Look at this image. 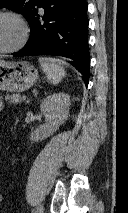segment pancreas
Wrapping results in <instances>:
<instances>
[{"mask_svg": "<svg viewBox=\"0 0 128 213\" xmlns=\"http://www.w3.org/2000/svg\"><path fill=\"white\" fill-rule=\"evenodd\" d=\"M5 99L12 104H19L24 98H22L20 95L12 94V95H6Z\"/></svg>", "mask_w": 128, "mask_h": 213, "instance_id": "cf45deb5", "label": "pancreas"}]
</instances>
